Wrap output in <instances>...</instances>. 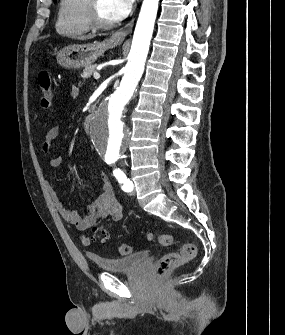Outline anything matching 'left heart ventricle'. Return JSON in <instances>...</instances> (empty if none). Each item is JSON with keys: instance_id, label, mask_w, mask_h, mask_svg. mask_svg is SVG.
<instances>
[{"instance_id": "left-heart-ventricle-1", "label": "left heart ventricle", "mask_w": 285, "mask_h": 335, "mask_svg": "<svg viewBox=\"0 0 285 335\" xmlns=\"http://www.w3.org/2000/svg\"><path fill=\"white\" fill-rule=\"evenodd\" d=\"M99 9L102 18L105 21L112 22V18L108 9L107 1H99Z\"/></svg>"}]
</instances>
